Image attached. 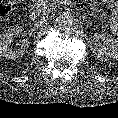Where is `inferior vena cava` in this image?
<instances>
[{
    "instance_id": "inferior-vena-cava-1",
    "label": "inferior vena cava",
    "mask_w": 118,
    "mask_h": 118,
    "mask_svg": "<svg viewBox=\"0 0 118 118\" xmlns=\"http://www.w3.org/2000/svg\"><path fill=\"white\" fill-rule=\"evenodd\" d=\"M48 20L47 17H41L39 18L37 21H36V26L39 27V26H43L45 24V22Z\"/></svg>"
}]
</instances>
